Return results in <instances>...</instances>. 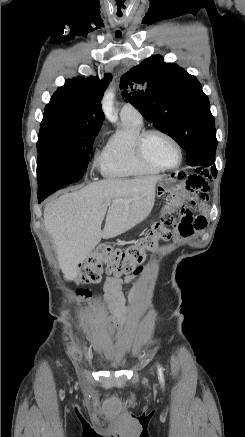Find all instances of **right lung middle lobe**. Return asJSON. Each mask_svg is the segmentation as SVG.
<instances>
[{"label":"right lung middle lobe","instance_id":"dd1d6c3e","mask_svg":"<svg viewBox=\"0 0 245 437\" xmlns=\"http://www.w3.org/2000/svg\"><path fill=\"white\" fill-rule=\"evenodd\" d=\"M100 127L59 111H45L37 142L38 180L49 174L83 176Z\"/></svg>","mask_w":245,"mask_h":437}]
</instances>
